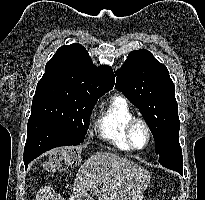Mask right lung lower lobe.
Returning a JSON list of instances; mask_svg holds the SVG:
<instances>
[{
	"label": "right lung lower lobe",
	"instance_id": "right-lung-lower-lobe-1",
	"mask_svg": "<svg viewBox=\"0 0 205 200\" xmlns=\"http://www.w3.org/2000/svg\"><path fill=\"white\" fill-rule=\"evenodd\" d=\"M54 123L30 116L27 125V141L24 148V164H28L42 153L59 146L79 145Z\"/></svg>",
	"mask_w": 205,
	"mask_h": 200
}]
</instances>
